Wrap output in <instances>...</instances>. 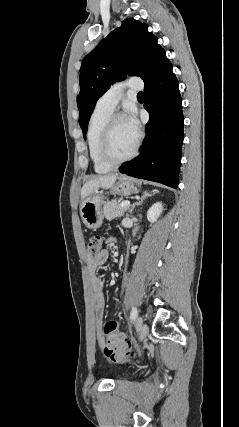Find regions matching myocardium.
<instances>
[{
  "mask_svg": "<svg viewBox=\"0 0 239 427\" xmlns=\"http://www.w3.org/2000/svg\"><path fill=\"white\" fill-rule=\"evenodd\" d=\"M120 119H124L121 114L119 113L111 114V116L108 118L104 126V129L101 134V139H100V146H99L100 157L106 164L110 165L111 167L121 165L131 160L132 158H134L137 155L138 149L140 146V135L138 134L136 137L135 145L129 154H127L122 158H115L112 156L110 151L112 130H113L114 124Z\"/></svg>",
  "mask_w": 239,
  "mask_h": 427,
  "instance_id": "obj_1",
  "label": "myocardium"
}]
</instances>
